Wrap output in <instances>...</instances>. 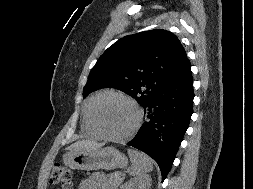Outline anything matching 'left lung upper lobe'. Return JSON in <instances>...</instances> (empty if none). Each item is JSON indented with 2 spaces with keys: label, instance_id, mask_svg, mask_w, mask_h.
I'll list each match as a JSON object with an SVG mask.
<instances>
[{
  "label": "left lung upper lobe",
  "instance_id": "1",
  "mask_svg": "<svg viewBox=\"0 0 253 189\" xmlns=\"http://www.w3.org/2000/svg\"><path fill=\"white\" fill-rule=\"evenodd\" d=\"M186 59L179 39L167 30L125 36L98 59L83 96L109 87L123 91L144 106L178 73Z\"/></svg>",
  "mask_w": 253,
  "mask_h": 189
}]
</instances>
